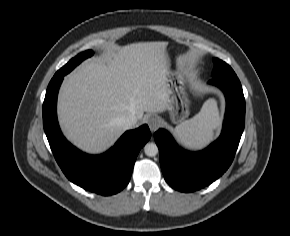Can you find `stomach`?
I'll use <instances>...</instances> for the list:
<instances>
[{"label": "stomach", "mask_w": 290, "mask_h": 236, "mask_svg": "<svg viewBox=\"0 0 290 236\" xmlns=\"http://www.w3.org/2000/svg\"><path fill=\"white\" fill-rule=\"evenodd\" d=\"M166 84L169 91L167 111L172 122L178 123L189 115L191 102L186 91L185 81L180 75L169 72L166 76Z\"/></svg>", "instance_id": "1"}]
</instances>
